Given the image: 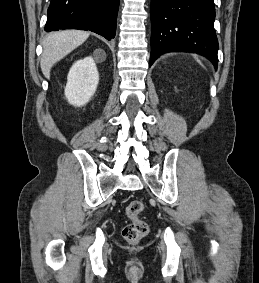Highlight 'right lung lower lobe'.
Returning <instances> with one entry per match:
<instances>
[{
	"label": "right lung lower lobe",
	"instance_id": "obj_1",
	"mask_svg": "<svg viewBox=\"0 0 259 283\" xmlns=\"http://www.w3.org/2000/svg\"><path fill=\"white\" fill-rule=\"evenodd\" d=\"M118 7L119 0H51L45 31L90 30L111 40Z\"/></svg>",
	"mask_w": 259,
	"mask_h": 283
}]
</instances>
